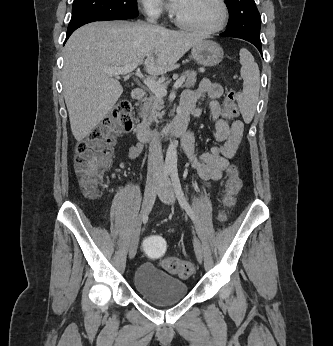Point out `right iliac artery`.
<instances>
[{"label": "right iliac artery", "mask_w": 333, "mask_h": 346, "mask_svg": "<svg viewBox=\"0 0 333 346\" xmlns=\"http://www.w3.org/2000/svg\"><path fill=\"white\" fill-rule=\"evenodd\" d=\"M169 173H170L169 169H164V171H163V180H165L168 177Z\"/></svg>", "instance_id": "right-iliac-artery-1"}]
</instances>
